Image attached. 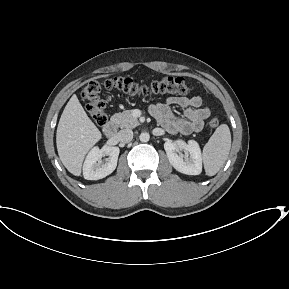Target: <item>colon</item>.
Instances as JSON below:
<instances>
[{
  "instance_id": "obj_1",
  "label": "colon",
  "mask_w": 289,
  "mask_h": 289,
  "mask_svg": "<svg viewBox=\"0 0 289 289\" xmlns=\"http://www.w3.org/2000/svg\"><path fill=\"white\" fill-rule=\"evenodd\" d=\"M103 90H118L132 96L148 95H184L188 93L189 86L185 79L179 76L164 77L150 83H138L127 77H114L104 81H90L83 90L82 97L87 103V111L99 126L106 124L108 117L105 104L100 98ZM220 124L217 115H211L207 122L208 131H214Z\"/></svg>"
}]
</instances>
